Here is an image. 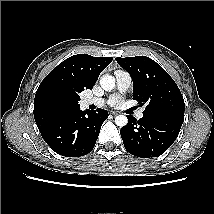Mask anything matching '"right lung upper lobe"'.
<instances>
[{"label":"right lung upper lobe","mask_w":214,"mask_h":214,"mask_svg":"<svg viewBox=\"0 0 214 214\" xmlns=\"http://www.w3.org/2000/svg\"><path fill=\"white\" fill-rule=\"evenodd\" d=\"M112 57L78 54L54 68L39 85L34 99V118L42 129L66 111L79 108V93L92 89Z\"/></svg>","instance_id":"1"}]
</instances>
